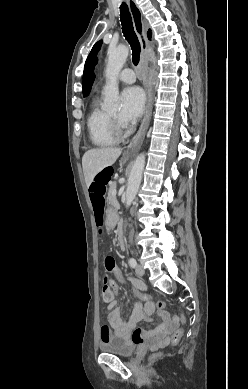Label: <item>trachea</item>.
<instances>
[{
	"label": "trachea",
	"instance_id": "trachea-1",
	"mask_svg": "<svg viewBox=\"0 0 248 389\" xmlns=\"http://www.w3.org/2000/svg\"><path fill=\"white\" fill-rule=\"evenodd\" d=\"M120 21L124 37L130 44L132 49L133 64L137 66V64L139 63L141 47L137 35L134 31L132 17L126 3H122V5L120 6Z\"/></svg>",
	"mask_w": 248,
	"mask_h": 389
}]
</instances>
